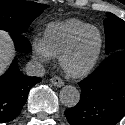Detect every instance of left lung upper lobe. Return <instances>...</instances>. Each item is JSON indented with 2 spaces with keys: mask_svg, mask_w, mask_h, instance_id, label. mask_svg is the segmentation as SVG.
I'll list each match as a JSON object with an SVG mask.
<instances>
[{
  "mask_svg": "<svg viewBox=\"0 0 125 125\" xmlns=\"http://www.w3.org/2000/svg\"><path fill=\"white\" fill-rule=\"evenodd\" d=\"M105 52L107 55L119 50H125V21L112 13H107L104 20Z\"/></svg>",
  "mask_w": 125,
  "mask_h": 125,
  "instance_id": "1",
  "label": "left lung upper lobe"
}]
</instances>
